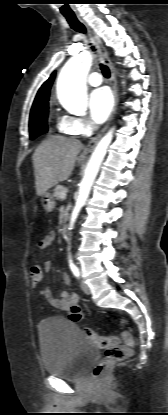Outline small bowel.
I'll return each mask as SVG.
<instances>
[{"label":"small bowel","mask_w":168,"mask_h":415,"mask_svg":"<svg viewBox=\"0 0 168 415\" xmlns=\"http://www.w3.org/2000/svg\"><path fill=\"white\" fill-rule=\"evenodd\" d=\"M56 239V233L50 232L40 242L39 247L41 250H48ZM52 269L51 261H45L42 265V275L44 272H50ZM65 284L70 285V279L67 274L62 276ZM41 294L44 299L55 309L68 312V317L72 321H79L82 319L83 314L79 306L78 295L71 290H64L60 293L59 297H54L50 287L41 290Z\"/></svg>","instance_id":"c3829d8e"}]
</instances>
